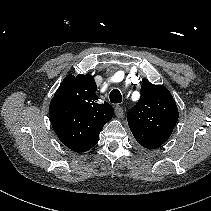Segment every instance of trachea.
<instances>
[{"label": "trachea", "instance_id": "3493384b", "mask_svg": "<svg viewBox=\"0 0 211 211\" xmlns=\"http://www.w3.org/2000/svg\"><path fill=\"white\" fill-rule=\"evenodd\" d=\"M110 102L115 104L122 102V95L118 89H113L110 92Z\"/></svg>", "mask_w": 211, "mask_h": 211}]
</instances>
